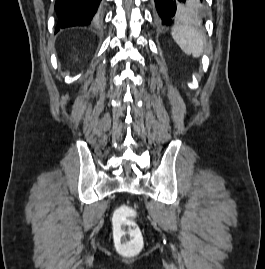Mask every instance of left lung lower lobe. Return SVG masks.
I'll list each match as a JSON object with an SVG mask.
<instances>
[{
	"label": "left lung lower lobe",
	"mask_w": 265,
	"mask_h": 269,
	"mask_svg": "<svg viewBox=\"0 0 265 269\" xmlns=\"http://www.w3.org/2000/svg\"><path fill=\"white\" fill-rule=\"evenodd\" d=\"M158 20L169 26L177 20L198 19L205 14L203 0H154Z\"/></svg>",
	"instance_id": "0a47b994"
}]
</instances>
